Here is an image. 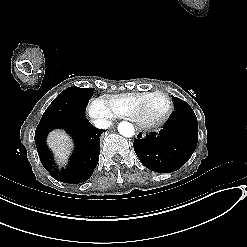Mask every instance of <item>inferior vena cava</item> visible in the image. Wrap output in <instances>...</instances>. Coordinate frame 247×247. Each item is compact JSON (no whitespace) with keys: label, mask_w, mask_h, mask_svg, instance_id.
<instances>
[{"label":"inferior vena cava","mask_w":247,"mask_h":247,"mask_svg":"<svg viewBox=\"0 0 247 247\" xmlns=\"http://www.w3.org/2000/svg\"><path fill=\"white\" fill-rule=\"evenodd\" d=\"M93 124L98 129H107L112 126V121L107 119H97L94 120Z\"/></svg>","instance_id":"602c4592"}]
</instances>
